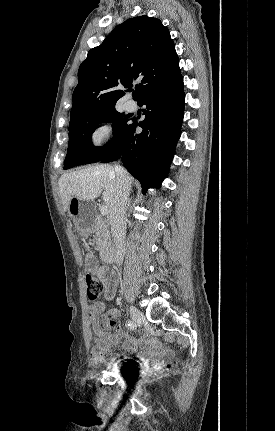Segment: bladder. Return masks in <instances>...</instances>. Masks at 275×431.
<instances>
[{"label":"bladder","instance_id":"obj_1","mask_svg":"<svg viewBox=\"0 0 275 431\" xmlns=\"http://www.w3.org/2000/svg\"><path fill=\"white\" fill-rule=\"evenodd\" d=\"M134 364H130L128 367H133ZM108 369L112 373H114L118 377L124 378L127 374V361L126 360H117L115 362H111L108 364Z\"/></svg>","mask_w":275,"mask_h":431}]
</instances>
